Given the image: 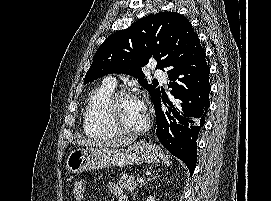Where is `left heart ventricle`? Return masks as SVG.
Here are the masks:
<instances>
[{"label":"left heart ventricle","instance_id":"obj_1","mask_svg":"<svg viewBox=\"0 0 271 201\" xmlns=\"http://www.w3.org/2000/svg\"><path fill=\"white\" fill-rule=\"evenodd\" d=\"M116 113L121 123L129 128H138L146 120V114L141 111L135 98L121 100L117 105Z\"/></svg>","mask_w":271,"mask_h":201}]
</instances>
